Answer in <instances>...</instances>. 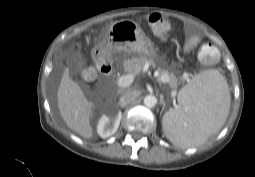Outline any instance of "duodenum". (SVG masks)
Masks as SVG:
<instances>
[{"mask_svg":"<svg viewBox=\"0 0 255 177\" xmlns=\"http://www.w3.org/2000/svg\"><path fill=\"white\" fill-rule=\"evenodd\" d=\"M97 65H98V68L100 69V71L104 75L109 76L112 74V72H113L112 66L107 61H105L103 58L98 59Z\"/></svg>","mask_w":255,"mask_h":177,"instance_id":"410a0bca","label":"duodenum"}]
</instances>
